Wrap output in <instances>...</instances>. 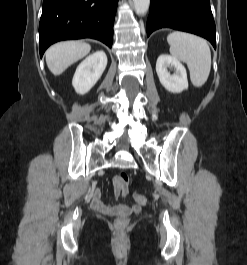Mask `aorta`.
<instances>
[{
    "mask_svg": "<svg viewBox=\"0 0 247 265\" xmlns=\"http://www.w3.org/2000/svg\"><path fill=\"white\" fill-rule=\"evenodd\" d=\"M134 8L138 15H145L149 9L150 0H133Z\"/></svg>",
    "mask_w": 247,
    "mask_h": 265,
    "instance_id": "762f6f07",
    "label": "aorta"
}]
</instances>
